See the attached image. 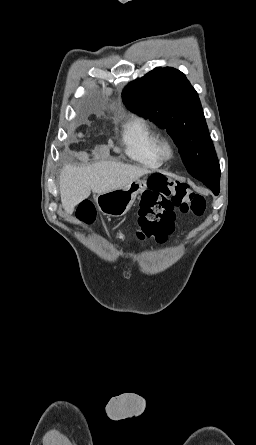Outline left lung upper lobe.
Here are the masks:
<instances>
[{
  "instance_id": "obj_1",
  "label": "left lung upper lobe",
  "mask_w": 256,
  "mask_h": 445,
  "mask_svg": "<svg viewBox=\"0 0 256 445\" xmlns=\"http://www.w3.org/2000/svg\"><path fill=\"white\" fill-rule=\"evenodd\" d=\"M122 98L131 111L167 129L191 175L220 176L198 94L182 72L155 68L131 82Z\"/></svg>"
}]
</instances>
